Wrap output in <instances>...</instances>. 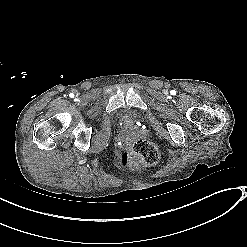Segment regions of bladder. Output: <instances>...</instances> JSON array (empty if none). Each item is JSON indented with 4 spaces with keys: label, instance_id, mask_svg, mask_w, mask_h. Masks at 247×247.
<instances>
[{
    "label": "bladder",
    "instance_id": "31cf9c89",
    "mask_svg": "<svg viewBox=\"0 0 247 247\" xmlns=\"http://www.w3.org/2000/svg\"><path fill=\"white\" fill-rule=\"evenodd\" d=\"M117 122L121 127L136 125L143 121V113L140 110L124 107L119 108L115 112Z\"/></svg>",
    "mask_w": 247,
    "mask_h": 247
}]
</instances>
